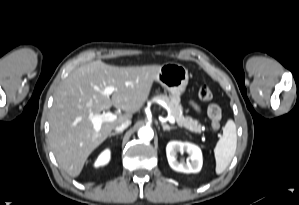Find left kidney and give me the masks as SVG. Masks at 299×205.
I'll return each instance as SVG.
<instances>
[{
	"instance_id": "left-kidney-1",
	"label": "left kidney",
	"mask_w": 299,
	"mask_h": 205,
	"mask_svg": "<svg viewBox=\"0 0 299 205\" xmlns=\"http://www.w3.org/2000/svg\"><path fill=\"white\" fill-rule=\"evenodd\" d=\"M178 152H187L189 159L186 163L176 158ZM167 159L170 167L178 172L197 173L202 168V152L200 148L189 142L170 141L166 147Z\"/></svg>"
}]
</instances>
